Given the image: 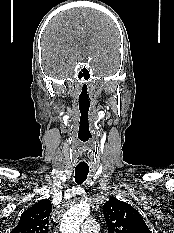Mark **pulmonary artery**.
Returning <instances> with one entry per match:
<instances>
[{
	"label": "pulmonary artery",
	"mask_w": 174,
	"mask_h": 233,
	"mask_svg": "<svg viewBox=\"0 0 174 233\" xmlns=\"http://www.w3.org/2000/svg\"><path fill=\"white\" fill-rule=\"evenodd\" d=\"M99 226L93 220L85 221L81 226V233H98Z\"/></svg>",
	"instance_id": "e3ab8cb5"
}]
</instances>
